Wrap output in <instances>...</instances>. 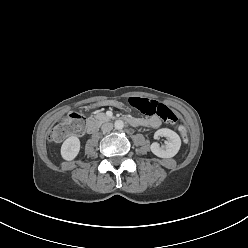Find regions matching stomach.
<instances>
[{
    "instance_id": "obj_1",
    "label": "stomach",
    "mask_w": 248,
    "mask_h": 248,
    "mask_svg": "<svg viewBox=\"0 0 248 248\" xmlns=\"http://www.w3.org/2000/svg\"><path fill=\"white\" fill-rule=\"evenodd\" d=\"M105 106H114L121 112H127L128 106L124 103H122L118 99H104L103 101L97 102L98 108H104Z\"/></svg>"
}]
</instances>
